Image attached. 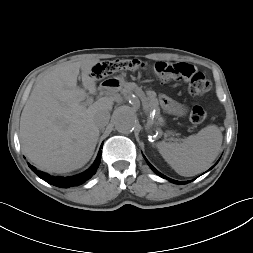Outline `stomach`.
Returning <instances> with one entry per match:
<instances>
[{
	"mask_svg": "<svg viewBox=\"0 0 253 253\" xmlns=\"http://www.w3.org/2000/svg\"><path fill=\"white\" fill-rule=\"evenodd\" d=\"M113 80L114 81L112 82V85L109 86L108 84L104 83V87L108 90H118L125 85V80L123 77H115Z\"/></svg>",
	"mask_w": 253,
	"mask_h": 253,
	"instance_id": "stomach-1",
	"label": "stomach"
}]
</instances>
